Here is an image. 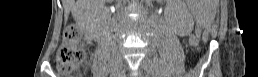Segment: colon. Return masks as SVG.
<instances>
[{
    "mask_svg": "<svg viewBox=\"0 0 258 77\" xmlns=\"http://www.w3.org/2000/svg\"><path fill=\"white\" fill-rule=\"evenodd\" d=\"M85 60L81 37L75 25L67 27L64 39L57 51L58 69L63 74L77 70Z\"/></svg>",
    "mask_w": 258,
    "mask_h": 77,
    "instance_id": "1",
    "label": "colon"
}]
</instances>
